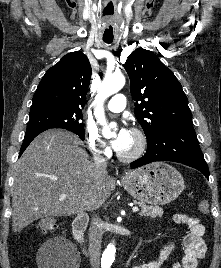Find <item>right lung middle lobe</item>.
Masks as SVG:
<instances>
[{"mask_svg": "<svg viewBox=\"0 0 221 268\" xmlns=\"http://www.w3.org/2000/svg\"><path fill=\"white\" fill-rule=\"evenodd\" d=\"M81 111L47 110L30 113L27 131L35 129L62 128L84 137Z\"/></svg>", "mask_w": 221, "mask_h": 268, "instance_id": "dd1d6c3e", "label": "right lung middle lobe"}]
</instances>
